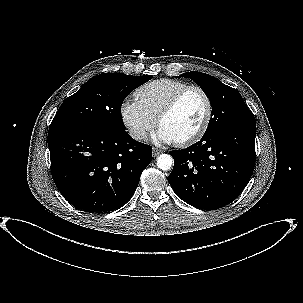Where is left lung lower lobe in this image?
Instances as JSON below:
<instances>
[{
	"label": "left lung lower lobe",
	"mask_w": 303,
	"mask_h": 303,
	"mask_svg": "<svg viewBox=\"0 0 303 303\" xmlns=\"http://www.w3.org/2000/svg\"><path fill=\"white\" fill-rule=\"evenodd\" d=\"M255 122L203 135L185 150H174L168 176L176 195L193 207L214 210L234 201L249 182L255 166Z\"/></svg>",
	"instance_id": "0a47b994"
}]
</instances>
